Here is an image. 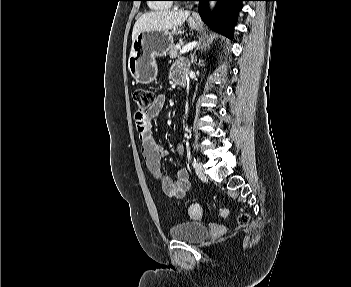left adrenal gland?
<instances>
[{"label":"left adrenal gland","instance_id":"obj_1","mask_svg":"<svg viewBox=\"0 0 351 287\" xmlns=\"http://www.w3.org/2000/svg\"><path fill=\"white\" fill-rule=\"evenodd\" d=\"M191 59H192V63H195L197 61V58L196 57L194 58V55L192 56Z\"/></svg>","mask_w":351,"mask_h":287}]
</instances>
